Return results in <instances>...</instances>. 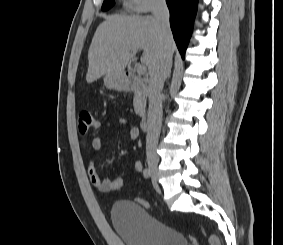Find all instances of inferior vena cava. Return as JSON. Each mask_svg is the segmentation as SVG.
Wrapping results in <instances>:
<instances>
[{
    "label": "inferior vena cava",
    "instance_id": "602c4592",
    "mask_svg": "<svg viewBox=\"0 0 283 245\" xmlns=\"http://www.w3.org/2000/svg\"><path fill=\"white\" fill-rule=\"evenodd\" d=\"M152 13L158 23L160 37L164 43L163 54L150 73L148 86L149 122L146 136V155L149 160H157L156 149L162 125V90L172 66V54L168 47L172 34L169 24V10L165 0H153Z\"/></svg>",
    "mask_w": 283,
    "mask_h": 245
}]
</instances>
